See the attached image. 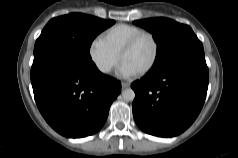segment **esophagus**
Here are the masks:
<instances>
[{"mask_svg": "<svg viewBox=\"0 0 238 158\" xmlns=\"http://www.w3.org/2000/svg\"><path fill=\"white\" fill-rule=\"evenodd\" d=\"M130 86V83L128 82H122V88L125 89V88H128Z\"/></svg>", "mask_w": 238, "mask_h": 158, "instance_id": "obj_1", "label": "esophagus"}]
</instances>
